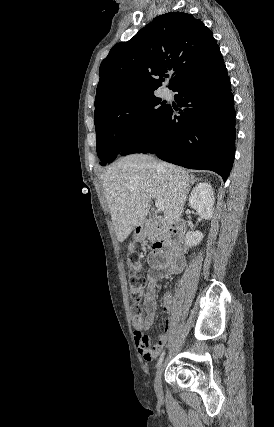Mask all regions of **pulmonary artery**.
Here are the masks:
<instances>
[{
    "instance_id": "e3ab8cb5",
    "label": "pulmonary artery",
    "mask_w": 274,
    "mask_h": 427,
    "mask_svg": "<svg viewBox=\"0 0 274 427\" xmlns=\"http://www.w3.org/2000/svg\"><path fill=\"white\" fill-rule=\"evenodd\" d=\"M162 97H163V98H168V97H169V91L165 89V90L162 92Z\"/></svg>"
}]
</instances>
